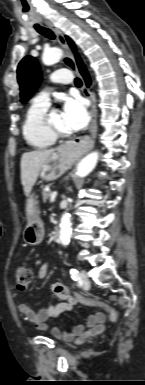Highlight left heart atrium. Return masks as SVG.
Here are the masks:
<instances>
[{"mask_svg":"<svg viewBox=\"0 0 145 385\" xmlns=\"http://www.w3.org/2000/svg\"><path fill=\"white\" fill-rule=\"evenodd\" d=\"M62 116L64 124L70 132L83 129L89 121L87 107L79 97L64 100Z\"/></svg>","mask_w":145,"mask_h":385,"instance_id":"obj_1","label":"left heart atrium"}]
</instances>
